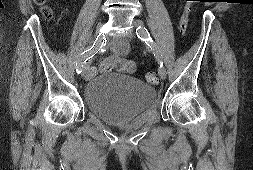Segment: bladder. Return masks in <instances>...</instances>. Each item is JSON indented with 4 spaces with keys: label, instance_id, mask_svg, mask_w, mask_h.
Masks as SVG:
<instances>
[{
    "label": "bladder",
    "instance_id": "1",
    "mask_svg": "<svg viewBox=\"0 0 253 170\" xmlns=\"http://www.w3.org/2000/svg\"><path fill=\"white\" fill-rule=\"evenodd\" d=\"M83 98L87 108L100 120L124 125L154 106L156 89L134 76L105 72L86 82Z\"/></svg>",
    "mask_w": 253,
    "mask_h": 170
}]
</instances>
